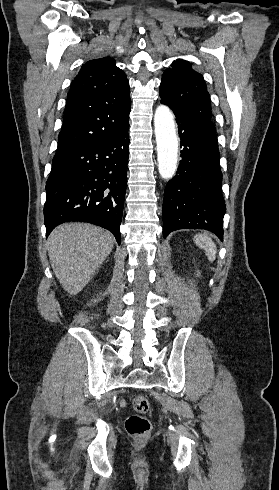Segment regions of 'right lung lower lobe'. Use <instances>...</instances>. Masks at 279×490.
<instances>
[{
  "mask_svg": "<svg viewBox=\"0 0 279 490\" xmlns=\"http://www.w3.org/2000/svg\"><path fill=\"white\" fill-rule=\"evenodd\" d=\"M128 127L53 159L46 182V236L59 224L80 221L111 231L120 244L127 182Z\"/></svg>",
  "mask_w": 279,
  "mask_h": 490,
  "instance_id": "98d812e1",
  "label": "right lung lower lobe"
}]
</instances>
